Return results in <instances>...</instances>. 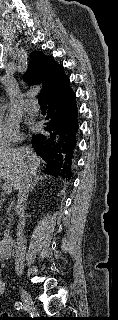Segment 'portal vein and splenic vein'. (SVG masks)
Here are the masks:
<instances>
[{
    "label": "portal vein and splenic vein",
    "instance_id": "1",
    "mask_svg": "<svg viewBox=\"0 0 118 320\" xmlns=\"http://www.w3.org/2000/svg\"><path fill=\"white\" fill-rule=\"evenodd\" d=\"M1 179L3 178H0V180ZM3 190L5 193L10 194L12 192V184L5 180L3 183Z\"/></svg>",
    "mask_w": 118,
    "mask_h": 320
}]
</instances>
